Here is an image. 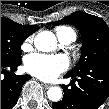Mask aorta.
<instances>
[{
    "instance_id": "762f6f07",
    "label": "aorta",
    "mask_w": 109,
    "mask_h": 109,
    "mask_svg": "<svg viewBox=\"0 0 109 109\" xmlns=\"http://www.w3.org/2000/svg\"><path fill=\"white\" fill-rule=\"evenodd\" d=\"M34 46L42 52H51L57 47V40L55 35L50 31L40 32L34 39ZM48 99L53 102H58L63 94L60 87L54 86L47 91Z\"/></svg>"
}]
</instances>
